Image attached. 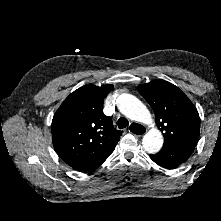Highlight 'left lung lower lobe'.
<instances>
[{
  "instance_id": "0a47b994",
  "label": "left lung lower lobe",
  "mask_w": 221,
  "mask_h": 221,
  "mask_svg": "<svg viewBox=\"0 0 221 221\" xmlns=\"http://www.w3.org/2000/svg\"><path fill=\"white\" fill-rule=\"evenodd\" d=\"M197 142H188L175 146H163V148L150 158L159 166L174 169L184 163L192 154Z\"/></svg>"
}]
</instances>
